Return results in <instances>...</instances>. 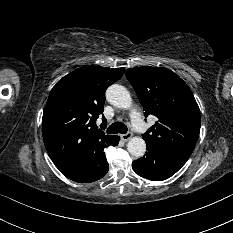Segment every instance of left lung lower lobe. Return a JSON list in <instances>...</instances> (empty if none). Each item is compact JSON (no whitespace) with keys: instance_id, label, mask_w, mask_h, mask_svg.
I'll return each mask as SVG.
<instances>
[{"instance_id":"obj_1","label":"left lung lower lobe","mask_w":233,"mask_h":233,"mask_svg":"<svg viewBox=\"0 0 233 233\" xmlns=\"http://www.w3.org/2000/svg\"><path fill=\"white\" fill-rule=\"evenodd\" d=\"M190 153L147 144V152L133 161L136 174L152 181H162L174 175L188 160Z\"/></svg>"}]
</instances>
